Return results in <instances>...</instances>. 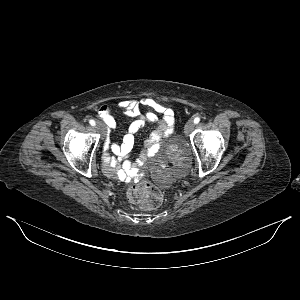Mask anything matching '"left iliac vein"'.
Listing matches in <instances>:
<instances>
[{"label":"left iliac vein","instance_id":"left-iliac-vein-1","mask_svg":"<svg viewBox=\"0 0 300 300\" xmlns=\"http://www.w3.org/2000/svg\"><path fill=\"white\" fill-rule=\"evenodd\" d=\"M194 121L192 119L188 120L185 127H184V131L186 134H189L193 128H194Z\"/></svg>","mask_w":300,"mask_h":300}]
</instances>
